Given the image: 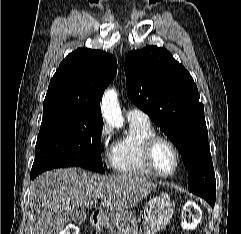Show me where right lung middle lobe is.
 Instances as JSON below:
<instances>
[{"label": "right lung middle lobe", "mask_w": 241, "mask_h": 234, "mask_svg": "<svg viewBox=\"0 0 241 234\" xmlns=\"http://www.w3.org/2000/svg\"><path fill=\"white\" fill-rule=\"evenodd\" d=\"M102 128L103 121L86 119L73 109H43L32 169L64 160L104 173L100 154Z\"/></svg>", "instance_id": "obj_1"}]
</instances>
